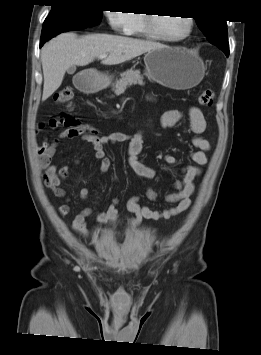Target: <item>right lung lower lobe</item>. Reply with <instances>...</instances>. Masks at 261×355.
Returning a JSON list of instances; mask_svg holds the SVG:
<instances>
[{
	"label": "right lung lower lobe",
	"mask_w": 261,
	"mask_h": 355,
	"mask_svg": "<svg viewBox=\"0 0 261 355\" xmlns=\"http://www.w3.org/2000/svg\"><path fill=\"white\" fill-rule=\"evenodd\" d=\"M89 26L71 18H60L51 21H45L42 28L40 47L55 35L66 31H75L85 29Z\"/></svg>",
	"instance_id": "1"
}]
</instances>
